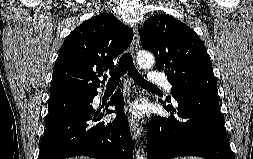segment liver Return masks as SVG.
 Returning a JSON list of instances; mask_svg holds the SVG:
<instances>
[{
  "label": "liver",
  "instance_id": "6515ba94",
  "mask_svg": "<svg viewBox=\"0 0 253 159\" xmlns=\"http://www.w3.org/2000/svg\"><path fill=\"white\" fill-rule=\"evenodd\" d=\"M69 159H91V158L80 156V157L69 158Z\"/></svg>",
  "mask_w": 253,
  "mask_h": 159
}]
</instances>
